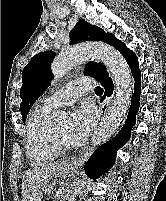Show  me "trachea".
Listing matches in <instances>:
<instances>
[{"label": "trachea", "instance_id": "1", "mask_svg": "<svg viewBox=\"0 0 166 201\" xmlns=\"http://www.w3.org/2000/svg\"><path fill=\"white\" fill-rule=\"evenodd\" d=\"M95 93L96 94H102L103 93V89L100 86H97L95 89Z\"/></svg>", "mask_w": 166, "mask_h": 201}]
</instances>
